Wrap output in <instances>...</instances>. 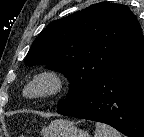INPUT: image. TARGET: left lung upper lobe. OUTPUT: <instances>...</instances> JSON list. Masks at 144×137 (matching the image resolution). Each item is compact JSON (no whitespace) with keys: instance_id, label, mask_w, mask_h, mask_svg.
Instances as JSON below:
<instances>
[{"instance_id":"5c2ea615","label":"left lung upper lobe","mask_w":144,"mask_h":137,"mask_svg":"<svg viewBox=\"0 0 144 137\" xmlns=\"http://www.w3.org/2000/svg\"><path fill=\"white\" fill-rule=\"evenodd\" d=\"M142 35L128 6L97 3L51 22L34 40L25 64H47L70 81L58 108L83 99L97 81L134 48Z\"/></svg>"}]
</instances>
